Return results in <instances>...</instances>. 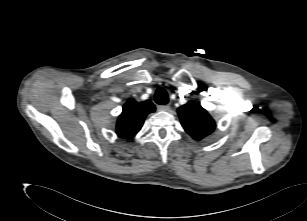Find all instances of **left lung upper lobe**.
Returning <instances> with one entry per match:
<instances>
[{
	"label": "left lung upper lobe",
	"mask_w": 307,
	"mask_h": 221,
	"mask_svg": "<svg viewBox=\"0 0 307 221\" xmlns=\"http://www.w3.org/2000/svg\"><path fill=\"white\" fill-rule=\"evenodd\" d=\"M178 115L184 130L195 140L210 135L216 125L209 113L195 102H188L179 107Z\"/></svg>",
	"instance_id": "left-lung-upper-lobe-1"
}]
</instances>
